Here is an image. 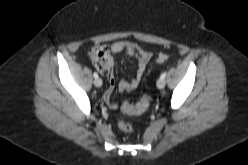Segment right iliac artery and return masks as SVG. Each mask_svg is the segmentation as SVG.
Returning a JSON list of instances; mask_svg holds the SVG:
<instances>
[{
	"instance_id": "obj_1",
	"label": "right iliac artery",
	"mask_w": 248,
	"mask_h": 165,
	"mask_svg": "<svg viewBox=\"0 0 248 165\" xmlns=\"http://www.w3.org/2000/svg\"><path fill=\"white\" fill-rule=\"evenodd\" d=\"M93 76L95 79L98 78V74L96 72H94Z\"/></svg>"
}]
</instances>
